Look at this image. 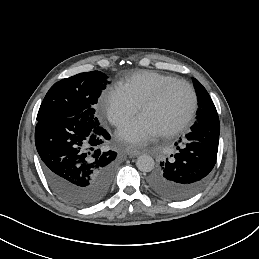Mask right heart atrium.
Listing matches in <instances>:
<instances>
[{
    "instance_id": "obj_1",
    "label": "right heart atrium",
    "mask_w": 259,
    "mask_h": 259,
    "mask_svg": "<svg viewBox=\"0 0 259 259\" xmlns=\"http://www.w3.org/2000/svg\"><path fill=\"white\" fill-rule=\"evenodd\" d=\"M98 105L101 115L114 126L132 119L140 110L139 104L117 86L105 87L98 96Z\"/></svg>"
}]
</instances>
